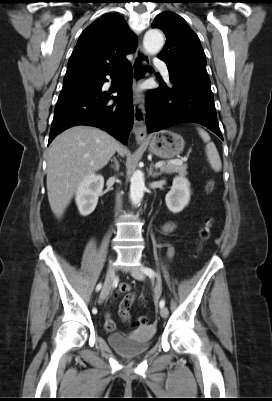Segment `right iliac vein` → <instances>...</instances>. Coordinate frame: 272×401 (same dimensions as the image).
I'll list each match as a JSON object with an SVG mask.
<instances>
[{"label": "right iliac vein", "instance_id": "obj_1", "mask_svg": "<svg viewBox=\"0 0 272 401\" xmlns=\"http://www.w3.org/2000/svg\"><path fill=\"white\" fill-rule=\"evenodd\" d=\"M113 280H114V268H113V263L110 262L107 268L105 282L100 294V302L106 299V297L108 296Z\"/></svg>", "mask_w": 272, "mask_h": 401}]
</instances>
